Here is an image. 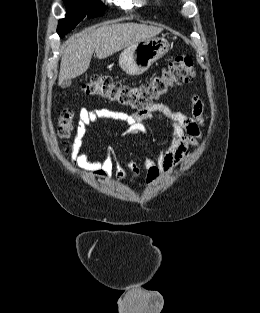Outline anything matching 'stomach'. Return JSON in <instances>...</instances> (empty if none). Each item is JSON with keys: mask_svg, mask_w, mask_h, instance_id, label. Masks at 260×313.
Returning a JSON list of instances; mask_svg holds the SVG:
<instances>
[{"mask_svg": "<svg viewBox=\"0 0 260 313\" xmlns=\"http://www.w3.org/2000/svg\"><path fill=\"white\" fill-rule=\"evenodd\" d=\"M170 43L163 37H152L126 47L119 56L122 70L131 76L144 73L150 66L168 53Z\"/></svg>", "mask_w": 260, "mask_h": 313, "instance_id": "0dacf381", "label": "stomach"}]
</instances>
